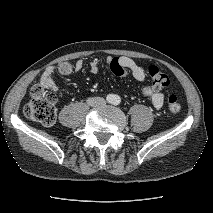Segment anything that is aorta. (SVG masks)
<instances>
[{"label": "aorta", "mask_w": 213, "mask_h": 213, "mask_svg": "<svg viewBox=\"0 0 213 213\" xmlns=\"http://www.w3.org/2000/svg\"><path fill=\"white\" fill-rule=\"evenodd\" d=\"M111 102L113 104H118L120 103V97L118 95H113Z\"/></svg>", "instance_id": "762f6f07"}]
</instances>
